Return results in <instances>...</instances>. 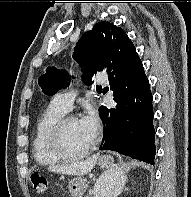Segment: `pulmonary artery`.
<instances>
[{
  "instance_id": "obj_1",
  "label": "pulmonary artery",
  "mask_w": 191,
  "mask_h": 197,
  "mask_svg": "<svg viewBox=\"0 0 191 197\" xmlns=\"http://www.w3.org/2000/svg\"><path fill=\"white\" fill-rule=\"evenodd\" d=\"M106 81L104 79V74L102 72L97 74V84H104ZM76 97V92L69 90L60 94H57L53 98V103L59 107L64 112H68L72 108L73 101Z\"/></svg>"
}]
</instances>
